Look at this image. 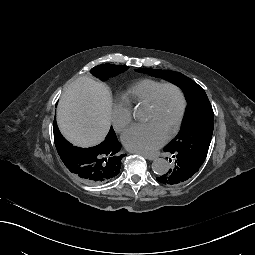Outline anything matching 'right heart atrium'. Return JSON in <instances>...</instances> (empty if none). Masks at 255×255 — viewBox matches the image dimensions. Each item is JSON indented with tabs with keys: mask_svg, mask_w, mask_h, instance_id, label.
Wrapping results in <instances>:
<instances>
[{
	"mask_svg": "<svg viewBox=\"0 0 255 255\" xmlns=\"http://www.w3.org/2000/svg\"><path fill=\"white\" fill-rule=\"evenodd\" d=\"M110 121L116 132H123L132 122L131 110L119 102L113 104L110 112Z\"/></svg>",
	"mask_w": 255,
	"mask_h": 255,
	"instance_id": "right-heart-atrium-1",
	"label": "right heart atrium"
}]
</instances>
